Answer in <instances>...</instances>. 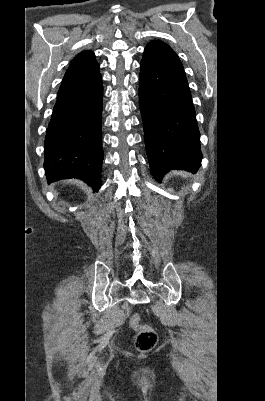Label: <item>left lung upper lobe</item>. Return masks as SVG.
I'll list each match as a JSON object with an SVG mask.
<instances>
[{
	"label": "left lung upper lobe",
	"instance_id": "1",
	"mask_svg": "<svg viewBox=\"0 0 265 401\" xmlns=\"http://www.w3.org/2000/svg\"><path fill=\"white\" fill-rule=\"evenodd\" d=\"M143 58L152 59L167 66L183 68L177 54L162 41L154 40L149 42L145 48Z\"/></svg>",
	"mask_w": 265,
	"mask_h": 401
}]
</instances>
